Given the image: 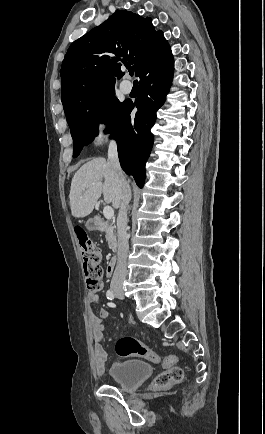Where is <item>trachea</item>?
Masks as SVG:
<instances>
[{
    "label": "trachea",
    "instance_id": "trachea-1",
    "mask_svg": "<svg viewBox=\"0 0 265 434\" xmlns=\"http://www.w3.org/2000/svg\"><path fill=\"white\" fill-rule=\"evenodd\" d=\"M129 73H130V75H133L134 74V69H129Z\"/></svg>",
    "mask_w": 265,
    "mask_h": 434
}]
</instances>
